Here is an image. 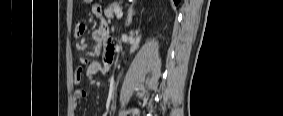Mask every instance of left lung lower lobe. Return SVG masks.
<instances>
[{
    "label": "left lung lower lobe",
    "mask_w": 283,
    "mask_h": 116,
    "mask_svg": "<svg viewBox=\"0 0 283 116\" xmlns=\"http://www.w3.org/2000/svg\"><path fill=\"white\" fill-rule=\"evenodd\" d=\"M174 1H175L176 4L179 2V0H174Z\"/></svg>",
    "instance_id": "1"
}]
</instances>
